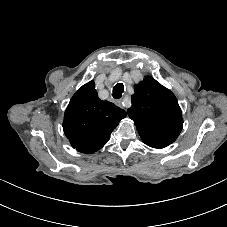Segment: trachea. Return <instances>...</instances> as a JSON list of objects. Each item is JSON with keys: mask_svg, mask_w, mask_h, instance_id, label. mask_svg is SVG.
<instances>
[{"mask_svg": "<svg viewBox=\"0 0 227 227\" xmlns=\"http://www.w3.org/2000/svg\"><path fill=\"white\" fill-rule=\"evenodd\" d=\"M124 92V85L123 83H117L114 87H113V97L115 99H119L121 98L122 94Z\"/></svg>", "mask_w": 227, "mask_h": 227, "instance_id": "3493384b", "label": "trachea"}]
</instances>
